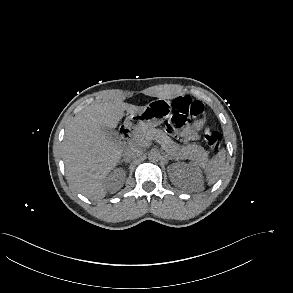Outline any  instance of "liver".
Returning <instances> with one entry per match:
<instances>
[{
  "label": "liver",
  "instance_id": "6515ba94",
  "mask_svg": "<svg viewBox=\"0 0 293 293\" xmlns=\"http://www.w3.org/2000/svg\"><path fill=\"white\" fill-rule=\"evenodd\" d=\"M140 107L120 100L96 102L84 108L66 129L62 150L66 177L79 193L91 199L106 195L104 179L119 163L123 148L101 130L116 128L126 111L130 116Z\"/></svg>",
  "mask_w": 293,
  "mask_h": 293
}]
</instances>
